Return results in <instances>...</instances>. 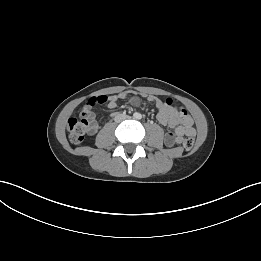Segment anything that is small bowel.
Returning a JSON list of instances; mask_svg holds the SVG:
<instances>
[{"instance_id":"obj_1","label":"small bowel","mask_w":261,"mask_h":261,"mask_svg":"<svg viewBox=\"0 0 261 261\" xmlns=\"http://www.w3.org/2000/svg\"><path fill=\"white\" fill-rule=\"evenodd\" d=\"M142 96L157 106V120L161 124L172 130L165 135L166 146L172 147L175 144L181 143L185 135L195 134V129L193 127V121L191 117L188 115L182 116V109L174 107L170 98L161 100L153 95ZM131 102L137 104L138 97L136 95H133L131 97ZM104 104L107 108H114L117 105V97H107V101ZM82 112H86L89 117L93 119V114L89 109L83 108ZM97 129L98 124L93 121L90 129L91 133H95Z\"/></svg>"}]
</instances>
